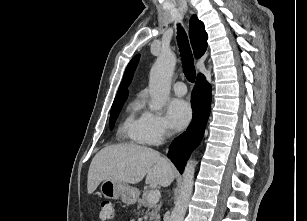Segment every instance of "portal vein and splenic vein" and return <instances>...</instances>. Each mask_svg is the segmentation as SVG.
I'll use <instances>...</instances> for the list:
<instances>
[{"label": "portal vein and splenic vein", "instance_id": "portal-vein-and-splenic-vein-1", "mask_svg": "<svg viewBox=\"0 0 307 221\" xmlns=\"http://www.w3.org/2000/svg\"><path fill=\"white\" fill-rule=\"evenodd\" d=\"M160 199V191L158 189L152 190L148 195V201L156 204Z\"/></svg>", "mask_w": 307, "mask_h": 221}]
</instances>
